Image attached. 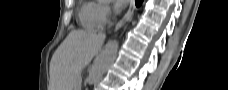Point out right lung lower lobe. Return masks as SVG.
<instances>
[{"mask_svg":"<svg viewBox=\"0 0 228 90\" xmlns=\"http://www.w3.org/2000/svg\"><path fill=\"white\" fill-rule=\"evenodd\" d=\"M142 0H136V6H139L141 4Z\"/></svg>","mask_w":228,"mask_h":90,"instance_id":"obj_1","label":"right lung lower lobe"}]
</instances>
